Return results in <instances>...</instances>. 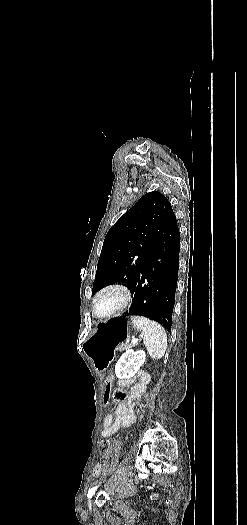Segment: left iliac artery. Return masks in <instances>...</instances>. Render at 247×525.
Wrapping results in <instances>:
<instances>
[{
	"instance_id": "44dca946",
	"label": "left iliac artery",
	"mask_w": 247,
	"mask_h": 525,
	"mask_svg": "<svg viewBox=\"0 0 247 525\" xmlns=\"http://www.w3.org/2000/svg\"><path fill=\"white\" fill-rule=\"evenodd\" d=\"M96 489H97V486H95V487L89 489L88 494H87V497H88L89 499L94 495Z\"/></svg>"
}]
</instances>
